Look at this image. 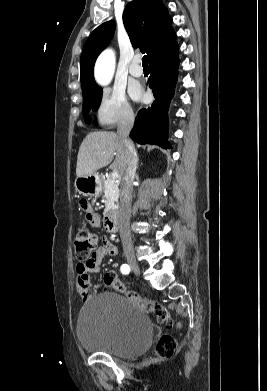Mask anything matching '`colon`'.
<instances>
[{"mask_svg":"<svg viewBox=\"0 0 267 391\" xmlns=\"http://www.w3.org/2000/svg\"><path fill=\"white\" fill-rule=\"evenodd\" d=\"M99 245V237L86 228H81L75 235L74 246L75 256L80 263L90 260ZM107 283L115 291L124 294L128 299L135 302L145 312L153 313L157 320L162 323H169L171 316L169 311L160 303L145 299L139 294L129 291L118 279L115 273L109 272L106 277ZM177 349L176 340L168 334L160 337L156 345V352L160 357H171Z\"/></svg>","mask_w":267,"mask_h":391,"instance_id":"obj_1","label":"colon"}]
</instances>
